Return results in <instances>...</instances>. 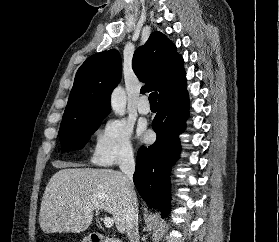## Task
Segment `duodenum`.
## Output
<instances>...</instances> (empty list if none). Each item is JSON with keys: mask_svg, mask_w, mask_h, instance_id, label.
<instances>
[{"mask_svg": "<svg viewBox=\"0 0 279 242\" xmlns=\"http://www.w3.org/2000/svg\"><path fill=\"white\" fill-rule=\"evenodd\" d=\"M91 242H122V241H120L119 239H115V238L107 237L102 234L95 233L91 235Z\"/></svg>", "mask_w": 279, "mask_h": 242, "instance_id": "410a0bca", "label": "duodenum"}]
</instances>
